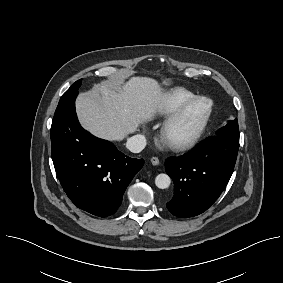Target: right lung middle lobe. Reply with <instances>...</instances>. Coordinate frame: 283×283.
Masks as SVG:
<instances>
[{
  "label": "right lung middle lobe",
  "mask_w": 283,
  "mask_h": 283,
  "mask_svg": "<svg viewBox=\"0 0 283 283\" xmlns=\"http://www.w3.org/2000/svg\"><path fill=\"white\" fill-rule=\"evenodd\" d=\"M80 85H81V79L76 81L63 95H67L74 92L80 87Z\"/></svg>",
  "instance_id": "right-lung-middle-lobe-1"
}]
</instances>
